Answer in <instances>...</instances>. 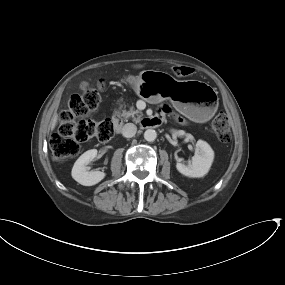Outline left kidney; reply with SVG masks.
I'll return each mask as SVG.
<instances>
[{
	"instance_id": "1",
	"label": "left kidney",
	"mask_w": 285,
	"mask_h": 285,
	"mask_svg": "<svg viewBox=\"0 0 285 285\" xmlns=\"http://www.w3.org/2000/svg\"><path fill=\"white\" fill-rule=\"evenodd\" d=\"M214 159V151L211 146L203 140H198L196 143L195 155L192 160L185 165L177 163V170L188 177L199 178L206 175L212 165Z\"/></svg>"
}]
</instances>
